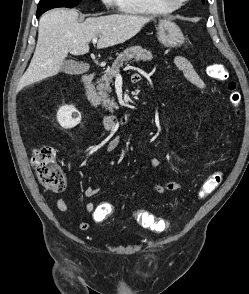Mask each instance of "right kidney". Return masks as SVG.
<instances>
[{
	"instance_id": "right-kidney-1",
	"label": "right kidney",
	"mask_w": 249,
	"mask_h": 294,
	"mask_svg": "<svg viewBox=\"0 0 249 294\" xmlns=\"http://www.w3.org/2000/svg\"><path fill=\"white\" fill-rule=\"evenodd\" d=\"M57 120L62 128L71 129L81 121V114L74 106L65 105L57 112Z\"/></svg>"
}]
</instances>
